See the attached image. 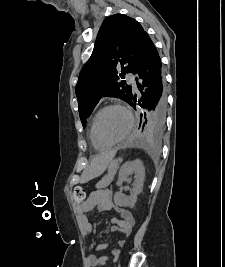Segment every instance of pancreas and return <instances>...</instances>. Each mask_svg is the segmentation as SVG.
<instances>
[{"instance_id": "obj_1", "label": "pancreas", "mask_w": 225, "mask_h": 267, "mask_svg": "<svg viewBox=\"0 0 225 267\" xmlns=\"http://www.w3.org/2000/svg\"><path fill=\"white\" fill-rule=\"evenodd\" d=\"M117 169H118V162L117 161H112L109 164L108 173L102 178L101 181H99L96 184L95 187L97 189H103V188L108 187L110 185V183L114 180V177H115Z\"/></svg>"}]
</instances>
